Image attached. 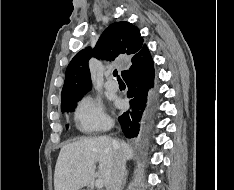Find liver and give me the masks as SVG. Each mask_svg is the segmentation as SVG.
<instances>
[{
  "label": "liver",
  "mask_w": 234,
  "mask_h": 190,
  "mask_svg": "<svg viewBox=\"0 0 234 190\" xmlns=\"http://www.w3.org/2000/svg\"><path fill=\"white\" fill-rule=\"evenodd\" d=\"M112 139L101 136L86 138L64 145L59 153L54 173L55 190H80L88 186L99 162L98 177L106 186L114 164L115 150ZM126 160L133 157L131 147L116 141Z\"/></svg>",
  "instance_id": "6515ba94"
}]
</instances>
